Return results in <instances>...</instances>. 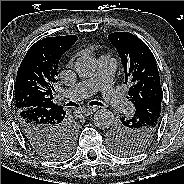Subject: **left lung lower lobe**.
Instances as JSON below:
<instances>
[{
	"mask_svg": "<svg viewBox=\"0 0 184 184\" xmlns=\"http://www.w3.org/2000/svg\"><path fill=\"white\" fill-rule=\"evenodd\" d=\"M161 102L162 99L160 98H152L144 102L136 108V112L134 114L135 119L146 121V119H149V116L152 117L156 113L158 114V112L161 111Z\"/></svg>",
	"mask_w": 184,
	"mask_h": 184,
	"instance_id": "0a47b994",
	"label": "left lung lower lobe"
}]
</instances>
